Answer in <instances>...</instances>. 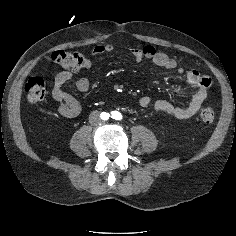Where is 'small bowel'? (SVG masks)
<instances>
[{
    "mask_svg": "<svg viewBox=\"0 0 236 236\" xmlns=\"http://www.w3.org/2000/svg\"><path fill=\"white\" fill-rule=\"evenodd\" d=\"M113 50L114 46L112 44H100L93 48L92 55L98 56ZM127 52L136 62L148 59L156 66L176 70L178 74L184 76L185 85L193 90L191 100L185 105H177L169 100L153 99L149 96H143L139 99V105L141 107H152L155 110L165 112L178 119H187L195 115L205 103L211 84V80L207 76L202 75L197 70L185 71L182 67L178 66L174 58L156 50L151 45H145L141 48H128ZM72 76L70 71H61L55 77L52 88V97L57 102V110L65 118L76 117L81 111L79 101L63 90L64 85L72 79ZM76 87L80 92H87L90 88V81L86 77H81L76 81Z\"/></svg>",
    "mask_w": 236,
    "mask_h": 236,
    "instance_id": "obj_1",
    "label": "small bowel"
}]
</instances>
